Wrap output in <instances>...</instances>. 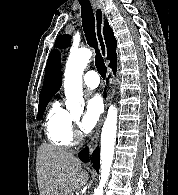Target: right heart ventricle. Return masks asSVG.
<instances>
[{
    "label": "right heart ventricle",
    "instance_id": "obj_1",
    "mask_svg": "<svg viewBox=\"0 0 178 195\" xmlns=\"http://www.w3.org/2000/svg\"><path fill=\"white\" fill-rule=\"evenodd\" d=\"M45 134L55 146L69 147L73 142L72 116L55 101L49 108L45 119Z\"/></svg>",
    "mask_w": 178,
    "mask_h": 195
}]
</instances>
